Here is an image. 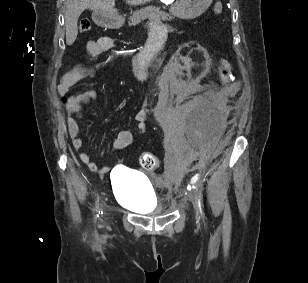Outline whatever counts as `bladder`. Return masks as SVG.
<instances>
[{
    "label": "bladder",
    "mask_w": 308,
    "mask_h": 283,
    "mask_svg": "<svg viewBox=\"0 0 308 283\" xmlns=\"http://www.w3.org/2000/svg\"><path fill=\"white\" fill-rule=\"evenodd\" d=\"M114 197L123 206L142 214L163 212L149 178L138 171L118 166L111 172Z\"/></svg>",
    "instance_id": "bladder-1"
}]
</instances>
